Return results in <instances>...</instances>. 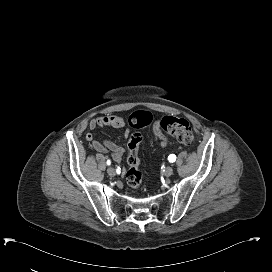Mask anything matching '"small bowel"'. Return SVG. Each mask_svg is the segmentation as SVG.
<instances>
[{"instance_id": "c3829d8e", "label": "small bowel", "mask_w": 272, "mask_h": 272, "mask_svg": "<svg viewBox=\"0 0 272 272\" xmlns=\"http://www.w3.org/2000/svg\"><path fill=\"white\" fill-rule=\"evenodd\" d=\"M98 127H110L113 129L121 130L123 131L125 137L129 136V129L126 127L124 119L117 115H104L90 121L89 128L91 130H94ZM151 132L153 140L156 143H158L162 147H165L167 145L168 140L162 132L158 122H155L152 125ZM86 139L91 143V146L95 151L101 153H110L114 162H121L124 154V149L120 145L109 140L99 141L95 138L92 132L86 134ZM129 154H132L136 157L137 163L139 165L140 158L138 155V148L134 150L129 149ZM125 171V168H122V172L125 173Z\"/></svg>"}]
</instances>
